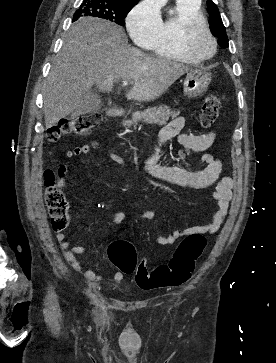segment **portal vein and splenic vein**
<instances>
[{"instance_id":"portal-vein-and-splenic-vein-1","label":"portal vein and splenic vein","mask_w":276,"mask_h":363,"mask_svg":"<svg viewBox=\"0 0 276 363\" xmlns=\"http://www.w3.org/2000/svg\"><path fill=\"white\" fill-rule=\"evenodd\" d=\"M122 85H123V86H128V82H127V81H123V82H122Z\"/></svg>"}]
</instances>
